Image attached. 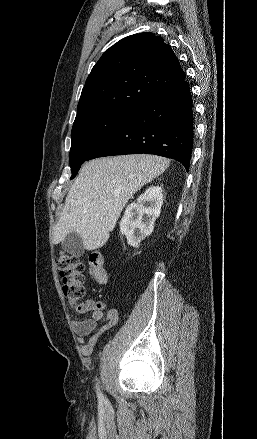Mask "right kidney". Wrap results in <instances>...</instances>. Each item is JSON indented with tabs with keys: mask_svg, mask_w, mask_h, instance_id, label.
Segmentation results:
<instances>
[{
	"mask_svg": "<svg viewBox=\"0 0 257 439\" xmlns=\"http://www.w3.org/2000/svg\"><path fill=\"white\" fill-rule=\"evenodd\" d=\"M162 203V188L150 186L136 202L126 207L120 221V232L126 236L128 245L138 247L140 242L152 233Z\"/></svg>",
	"mask_w": 257,
	"mask_h": 439,
	"instance_id": "ca27d5eb",
	"label": "right kidney"
}]
</instances>
